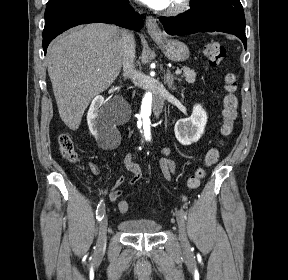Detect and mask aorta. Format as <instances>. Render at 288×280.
I'll list each match as a JSON object with an SVG mask.
<instances>
[{"label": "aorta", "mask_w": 288, "mask_h": 280, "mask_svg": "<svg viewBox=\"0 0 288 280\" xmlns=\"http://www.w3.org/2000/svg\"><path fill=\"white\" fill-rule=\"evenodd\" d=\"M152 108V93L147 92L142 100V106H138V115L136 120H148V116H151ZM139 126L138 136H141V140H150L152 136L151 121H137Z\"/></svg>", "instance_id": "aorta-1"}]
</instances>
